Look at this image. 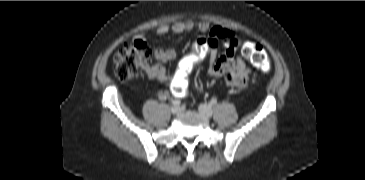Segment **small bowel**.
I'll return each mask as SVG.
<instances>
[{
	"mask_svg": "<svg viewBox=\"0 0 365 180\" xmlns=\"http://www.w3.org/2000/svg\"><path fill=\"white\" fill-rule=\"evenodd\" d=\"M197 30L201 37L197 40V50L194 55L182 59L174 71L169 72L161 65H149L144 68L146 74L151 78L173 83L179 79L186 70H190L198 60L207 62V73L211 78H224L226 83L238 90L247 88L251 74L250 68L244 59L236 55L240 44L237 32L222 26H210L205 22L186 21L177 22L172 25H162L157 28L156 33L164 36L170 33L180 34ZM140 40V39H139ZM220 44L226 48L225 54H219ZM153 56L160 62H169L176 56L173 49L165 46L155 47ZM167 97L166 91L158 93V98L164 100Z\"/></svg>",
	"mask_w": 365,
	"mask_h": 180,
	"instance_id": "1",
	"label": "small bowel"
}]
</instances>
